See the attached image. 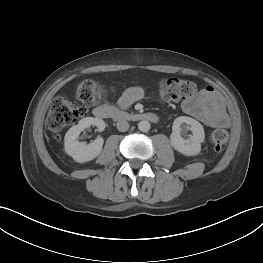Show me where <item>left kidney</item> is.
<instances>
[{
  "instance_id": "obj_1",
  "label": "left kidney",
  "mask_w": 263,
  "mask_h": 263,
  "mask_svg": "<svg viewBox=\"0 0 263 263\" xmlns=\"http://www.w3.org/2000/svg\"><path fill=\"white\" fill-rule=\"evenodd\" d=\"M186 123L192 134L188 139H185L182 134L181 125ZM205 133L203 126L195 119L187 116L177 117L172 126L170 136L171 145L178 152L187 155H197L201 150V143L204 141Z\"/></svg>"
}]
</instances>
